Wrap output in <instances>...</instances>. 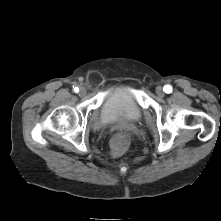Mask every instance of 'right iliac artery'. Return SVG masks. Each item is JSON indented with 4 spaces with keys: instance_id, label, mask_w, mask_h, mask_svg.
I'll list each match as a JSON object with an SVG mask.
<instances>
[{
    "instance_id": "right-iliac-artery-1",
    "label": "right iliac artery",
    "mask_w": 221,
    "mask_h": 221,
    "mask_svg": "<svg viewBox=\"0 0 221 221\" xmlns=\"http://www.w3.org/2000/svg\"><path fill=\"white\" fill-rule=\"evenodd\" d=\"M74 91L77 93L79 91V88L78 87H75L74 88Z\"/></svg>"
}]
</instances>
